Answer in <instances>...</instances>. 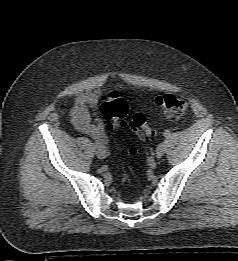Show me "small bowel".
<instances>
[{"label": "small bowel", "instance_id": "c3829d8e", "mask_svg": "<svg viewBox=\"0 0 238 261\" xmlns=\"http://www.w3.org/2000/svg\"><path fill=\"white\" fill-rule=\"evenodd\" d=\"M102 99L103 96L96 91L83 93L75 99L69 111L74 127L98 143H105L108 140L106 126L99 118L92 121L91 110L96 111Z\"/></svg>", "mask_w": 238, "mask_h": 261}]
</instances>
